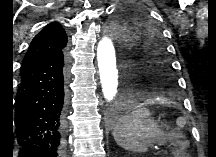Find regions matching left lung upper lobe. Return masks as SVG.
Returning a JSON list of instances; mask_svg holds the SVG:
<instances>
[{
    "label": "left lung upper lobe",
    "instance_id": "obj_1",
    "mask_svg": "<svg viewBox=\"0 0 216 157\" xmlns=\"http://www.w3.org/2000/svg\"><path fill=\"white\" fill-rule=\"evenodd\" d=\"M147 13V10L124 6L110 19L106 29L116 38L129 89L176 98L178 82L159 23H154Z\"/></svg>",
    "mask_w": 216,
    "mask_h": 157
}]
</instances>
